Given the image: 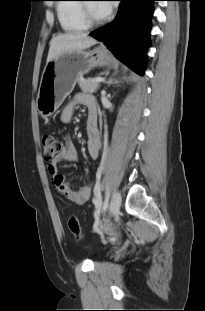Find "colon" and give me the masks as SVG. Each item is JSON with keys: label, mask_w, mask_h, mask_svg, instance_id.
<instances>
[{"label": "colon", "mask_w": 205, "mask_h": 311, "mask_svg": "<svg viewBox=\"0 0 205 311\" xmlns=\"http://www.w3.org/2000/svg\"><path fill=\"white\" fill-rule=\"evenodd\" d=\"M44 160L50 162L54 156L61 150V141L51 135H45L42 140ZM67 225L69 231L75 240L80 242L83 239V233L78 218L75 215L68 217Z\"/></svg>", "instance_id": "colon-1"}]
</instances>
